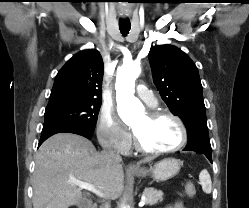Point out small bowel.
Instances as JSON below:
<instances>
[{"instance_id": "c3829d8e", "label": "small bowel", "mask_w": 249, "mask_h": 208, "mask_svg": "<svg viewBox=\"0 0 249 208\" xmlns=\"http://www.w3.org/2000/svg\"><path fill=\"white\" fill-rule=\"evenodd\" d=\"M166 208H185L181 202H176Z\"/></svg>"}]
</instances>
